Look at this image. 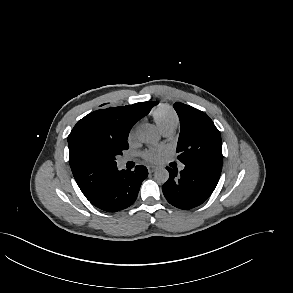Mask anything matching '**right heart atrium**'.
Masks as SVG:
<instances>
[{
  "instance_id": "obj_1",
  "label": "right heart atrium",
  "mask_w": 293,
  "mask_h": 293,
  "mask_svg": "<svg viewBox=\"0 0 293 293\" xmlns=\"http://www.w3.org/2000/svg\"><path fill=\"white\" fill-rule=\"evenodd\" d=\"M134 132H135V128H132L129 132V135H128L129 140L133 138Z\"/></svg>"
}]
</instances>
